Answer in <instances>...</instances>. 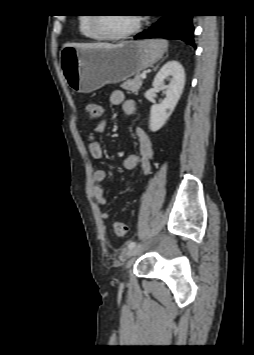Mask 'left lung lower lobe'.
<instances>
[{
    "instance_id": "0a47b994",
    "label": "left lung lower lobe",
    "mask_w": 254,
    "mask_h": 355,
    "mask_svg": "<svg viewBox=\"0 0 254 355\" xmlns=\"http://www.w3.org/2000/svg\"><path fill=\"white\" fill-rule=\"evenodd\" d=\"M161 18L154 27H150L144 33L137 34L135 39L142 38H177L195 47L192 25L193 15H166Z\"/></svg>"
}]
</instances>
